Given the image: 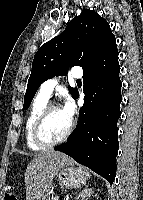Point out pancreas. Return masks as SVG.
Masks as SVG:
<instances>
[{
    "label": "pancreas",
    "mask_w": 143,
    "mask_h": 200,
    "mask_svg": "<svg viewBox=\"0 0 143 200\" xmlns=\"http://www.w3.org/2000/svg\"><path fill=\"white\" fill-rule=\"evenodd\" d=\"M51 200H58L57 198H53V199H51Z\"/></svg>",
    "instance_id": "obj_1"
}]
</instances>
